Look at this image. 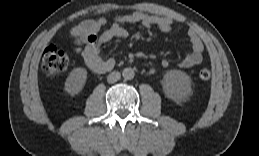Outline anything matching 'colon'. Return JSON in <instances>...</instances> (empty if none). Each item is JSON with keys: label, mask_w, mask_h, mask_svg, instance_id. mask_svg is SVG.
Masks as SVG:
<instances>
[{"label": "colon", "mask_w": 259, "mask_h": 156, "mask_svg": "<svg viewBox=\"0 0 259 156\" xmlns=\"http://www.w3.org/2000/svg\"><path fill=\"white\" fill-rule=\"evenodd\" d=\"M68 67L69 57L64 51L54 45H50L44 50L41 68L47 76L52 78L57 77L65 72ZM198 77L201 81H207L211 77V72L206 68L201 69L198 73Z\"/></svg>", "instance_id": "obj_1"}]
</instances>
